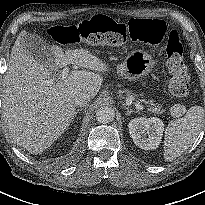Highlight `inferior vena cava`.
Here are the masks:
<instances>
[{
  "label": "inferior vena cava",
  "mask_w": 205,
  "mask_h": 205,
  "mask_svg": "<svg viewBox=\"0 0 205 205\" xmlns=\"http://www.w3.org/2000/svg\"><path fill=\"white\" fill-rule=\"evenodd\" d=\"M92 99V96L89 93L81 92L76 95L75 97V104L76 105H85Z\"/></svg>",
  "instance_id": "inferior-vena-cava-1"
}]
</instances>
